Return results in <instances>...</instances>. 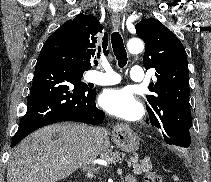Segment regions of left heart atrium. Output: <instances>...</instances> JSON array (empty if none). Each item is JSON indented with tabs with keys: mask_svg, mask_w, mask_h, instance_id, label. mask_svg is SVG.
Masks as SVG:
<instances>
[{
	"mask_svg": "<svg viewBox=\"0 0 211 182\" xmlns=\"http://www.w3.org/2000/svg\"><path fill=\"white\" fill-rule=\"evenodd\" d=\"M100 104L109 114L133 121L142 115V106L129 89H109L100 97Z\"/></svg>",
	"mask_w": 211,
	"mask_h": 182,
	"instance_id": "obj_1",
	"label": "left heart atrium"
}]
</instances>
